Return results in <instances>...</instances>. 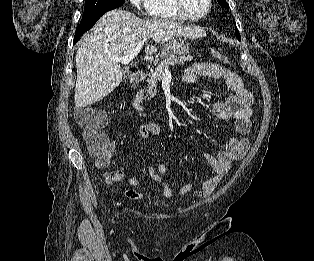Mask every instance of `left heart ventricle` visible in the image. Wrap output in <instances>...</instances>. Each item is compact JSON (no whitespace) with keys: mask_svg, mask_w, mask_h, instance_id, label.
Instances as JSON below:
<instances>
[{"mask_svg":"<svg viewBox=\"0 0 314 261\" xmlns=\"http://www.w3.org/2000/svg\"><path fill=\"white\" fill-rule=\"evenodd\" d=\"M187 8L195 14H202L208 8V0H184Z\"/></svg>","mask_w":314,"mask_h":261,"instance_id":"1","label":"left heart ventricle"}]
</instances>
